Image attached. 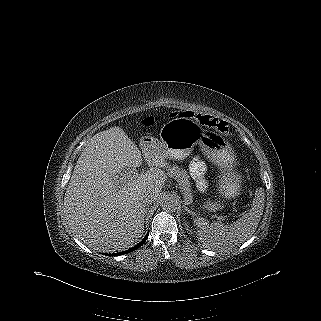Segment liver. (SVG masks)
Wrapping results in <instances>:
<instances>
[{
	"mask_svg": "<svg viewBox=\"0 0 321 321\" xmlns=\"http://www.w3.org/2000/svg\"><path fill=\"white\" fill-rule=\"evenodd\" d=\"M147 161L150 171L133 175ZM166 157L155 148H139L115 126L95 134L81 153L64 197L65 216L76 236L106 252L125 250L144 232V190L155 199L167 181ZM131 168V169H130ZM161 168V169H159Z\"/></svg>",
	"mask_w": 321,
	"mask_h": 321,
	"instance_id": "6515ba94",
	"label": "liver"
}]
</instances>
